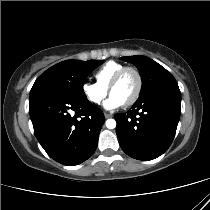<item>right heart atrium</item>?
Returning a JSON list of instances; mask_svg holds the SVG:
<instances>
[{
	"mask_svg": "<svg viewBox=\"0 0 210 210\" xmlns=\"http://www.w3.org/2000/svg\"><path fill=\"white\" fill-rule=\"evenodd\" d=\"M81 91L85 99L93 105H99L107 95V89L88 81L82 83Z\"/></svg>",
	"mask_w": 210,
	"mask_h": 210,
	"instance_id": "1",
	"label": "right heart atrium"
}]
</instances>
